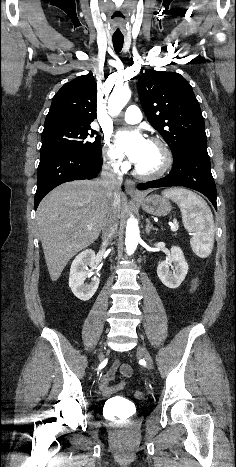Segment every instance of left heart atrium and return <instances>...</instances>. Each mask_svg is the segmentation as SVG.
I'll list each match as a JSON object with an SVG mask.
<instances>
[{
  "mask_svg": "<svg viewBox=\"0 0 236 467\" xmlns=\"http://www.w3.org/2000/svg\"><path fill=\"white\" fill-rule=\"evenodd\" d=\"M116 142L120 153L136 164L142 159L148 145V140L138 130L117 132Z\"/></svg>",
  "mask_w": 236,
  "mask_h": 467,
  "instance_id": "left-heart-atrium-1",
  "label": "left heart atrium"
}]
</instances>
